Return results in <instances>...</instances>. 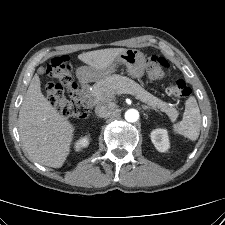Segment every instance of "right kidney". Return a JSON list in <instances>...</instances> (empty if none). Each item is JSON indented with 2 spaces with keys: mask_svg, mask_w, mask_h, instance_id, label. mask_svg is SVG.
I'll use <instances>...</instances> for the list:
<instances>
[{
  "mask_svg": "<svg viewBox=\"0 0 225 225\" xmlns=\"http://www.w3.org/2000/svg\"><path fill=\"white\" fill-rule=\"evenodd\" d=\"M88 144H89V139L87 137H83L76 143V150L78 151L83 147H87Z\"/></svg>",
  "mask_w": 225,
  "mask_h": 225,
  "instance_id": "obj_1",
  "label": "right kidney"
}]
</instances>
